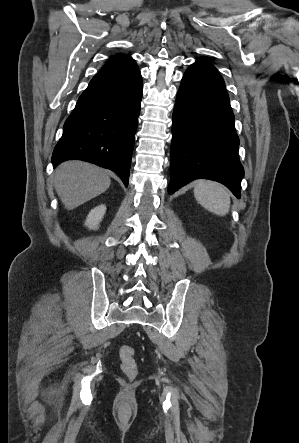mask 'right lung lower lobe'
<instances>
[{"mask_svg":"<svg viewBox=\"0 0 299 443\" xmlns=\"http://www.w3.org/2000/svg\"><path fill=\"white\" fill-rule=\"evenodd\" d=\"M142 90L138 67L95 75L64 124L53 166L88 161L116 172L127 187Z\"/></svg>","mask_w":299,"mask_h":443,"instance_id":"1","label":"right lung lower lobe"}]
</instances>
